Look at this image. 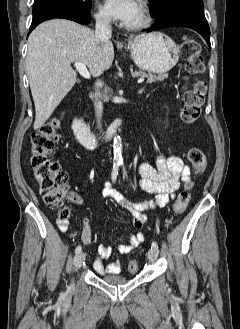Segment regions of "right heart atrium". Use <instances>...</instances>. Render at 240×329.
Masks as SVG:
<instances>
[{"label":"right heart atrium","mask_w":240,"mask_h":329,"mask_svg":"<svg viewBox=\"0 0 240 329\" xmlns=\"http://www.w3.org/2000/svg\"><path fill=\"white\" fill-rule=\"evenodd\" d=\"M95 19L100 24H109L111 22L109 16L101 8H98L95 12Z\"/></svg>","instance_id":"d8ad5b80"}]
</instances>
